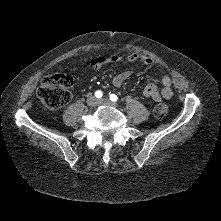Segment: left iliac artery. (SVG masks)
<instances>
[{
	"mask_svg": "<svg viewBox=\"0 0 221 221\" xmlns=\"http://www.w3.org/2000/svg\"><path fill=\"white\" fill-rule=\"evenodd\" d=\"M110 100L113 101V102H116V101L118 100L117 95L111 94V95H110Z\"/></svg>",
	"mask_w": 221,
	"mask_h": 221,
	"instance_id": "obj_1",
	"label": "left iliac artery"
}]
</instances>
